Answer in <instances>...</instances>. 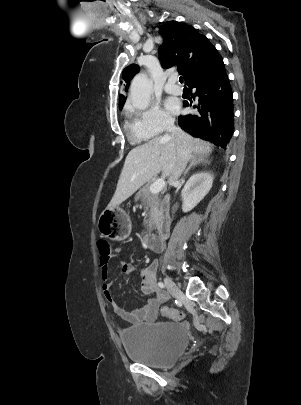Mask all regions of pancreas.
<instances>
[{
    "mask_svg": "<svg viewBox=\"0 0 301 405\" xmlns=\"http://www.w3.org/2000/svg\"><path fill=\"white\" fill-rule=\"evenodd\" d=\"M137 199H140L142 205L144 206L146 217L144 219V230L142 234L150 233L159 216V196L156 193L150 191V184L143 186L137 193Z\"/></svg>",
    "mask_w": 301,
    "mask_h": 405,
    "instance_id": "pancreas-1",
    "label": "pancreas"
}]
</instances>
